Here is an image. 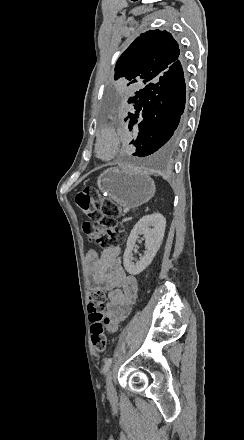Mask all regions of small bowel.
Instances as JSON below:
<instances>
[{
    "label": "small bowel",
    "instance_id": "obj_1",
    "mask_svg": "<svg viewBox=\"0 0 244 440\" xmlns=\"http://www.w3.org/2000/svg\"><path fill=\"white\" fill-rule=\"evenodd\" d=\"M120 246L93 250L86 255V267L91 291L103 290L108 294L106 329L110 335L117 334L121 322L132 311L137 301L139 285L135 276L127 274L119 255Z\"/></svg>",
    "mask_w": 244,
    "mask_h": 440
}]
</instances>
